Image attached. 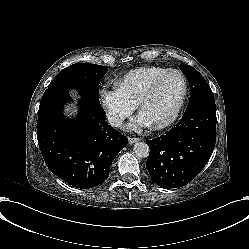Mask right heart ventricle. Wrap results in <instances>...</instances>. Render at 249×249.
<instances>
[{"label":"right heart ventricle","instance_id":"right-heart-ventricle-1","mask_svg":"<svg viewBox=\"0 0 249 249\" xmlns=\"http://www.w3.org/2000/svg\"><path fill=\"white\" fill-rule=\"evenodd\" d=\"M166 74L158 67L140 68L131 71L118 86L116 94L132 107L138 106L149 90Z\"/></svg>","mask_w":249,"mask_h":249}]
</instances>
